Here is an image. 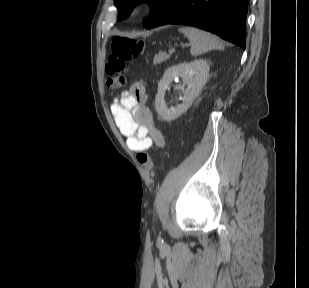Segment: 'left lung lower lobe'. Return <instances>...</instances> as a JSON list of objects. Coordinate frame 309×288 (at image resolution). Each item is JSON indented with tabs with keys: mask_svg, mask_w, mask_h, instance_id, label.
Returning <instances> with one entry per match:
<instances>
[{
	"mask_svg": "<svg viewBox=\"0 0 309 288\" xmlns=\"http://www.w3.org/2000/svg\"><path fill=\"white\" fill-rule=\"evenodd\" d=\"M249 0H170L147 24H186L219 35L245 49V22Z\"/></svg>",
	"mask_w": 309,
	"mask_h": 288,
	"instance_id": "left-lung-lower-lobe-1",
	"label": "left lung lower lobe"
}]
</instances>
